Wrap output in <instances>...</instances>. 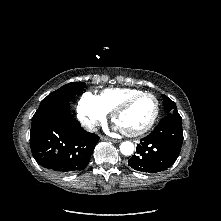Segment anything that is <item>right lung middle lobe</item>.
Here are the masks:
<instances>
[{
  "instance_id": "obj_1",
  "label": "right lung middle lobe",
  "mask_w": 221,
  "mask_h": 221,
  "mask_svg": "<svg viewBox=\"0 0 221 221\" xmlns=\"http://www.w3.org/2000/svg\"><path fill=\"white\" fill-rule=\"evenodd\" d=\"M85 87V83L83 82H73L68 83L56 91L50 93L47 97H45L41 103L39 108L33 117L40 114L42 111L60 105L64 103H69V101L76 96L83 88Z\"/></svg>"
}]
</instances>
